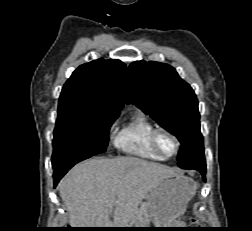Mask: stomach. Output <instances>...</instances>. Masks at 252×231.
I'll list each match as a JSON object with an SVG mask.
<instances>
[{"mask_svg":"<svg viewBox=\"0 0 252 231\" xmlns=\"http://www.w3.org/2000/svg\"><path fill=\"white\" fill-rule=\"evenodd\" d=\"M195 182L182 175H173L163 179L148 195V209L156 227L154 228H176L173 227L176 219L180 217L189 201L196 193ZM149 220H140L137 227H145Z\"/></svg>","mask_w":252,"mask_h":231,"instance_id":"obj_1","label":"stomach"}]
</instances>
